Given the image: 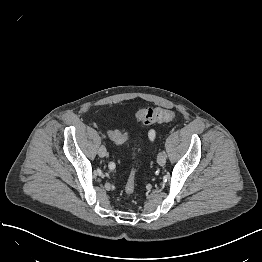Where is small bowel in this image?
Returning <instances> with one entry per match:
<instances>
[{"label":"small bowel","mask_w":262,"mask_h":262,"mask_svg":"<svg viewBox=\"0 0 262 262\" xmlns=\"http://www.w3.org/2000/svg\"><path fill=\"white\" fill-rule=\"evenodd\" d=\"M149 136H150V138L152 139V140H154L155 139V132H154V130H151L150 132H149ZM115 167H109V169H111V170H113Z\"/></svg>","instance_id":"obj_1"}]
</instances>
